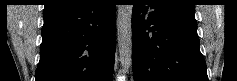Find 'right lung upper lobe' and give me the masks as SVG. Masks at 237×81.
Instances as JSON below:
<instances>
[{"label":"right lung upper lobe","mask_w":237,"mask_h":81,"mask_svg":"<svg viewBox=\"0 0 237 81\" xmlns=\"http://www.w3.org/2000/svg\"><path fill=\"white\" fill-rule=\"evenodd\" d=\"M43 14H48L54 11L70 8L82 0H47Z\"/></svg>","instance_id":"right-lung-upper-lobe-1"}]
</instances>
